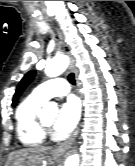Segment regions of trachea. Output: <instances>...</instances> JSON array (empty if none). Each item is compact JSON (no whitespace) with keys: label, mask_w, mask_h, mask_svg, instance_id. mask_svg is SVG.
<instances>
[{"label":"trachea","mask_w":135,"mask_h":166,"mask_svg":"<svg viewBox=\"0 0 135 166\" xmlns=\"http://www.w3.org/2000/svg\"><path fill=\"white\" fill-rule=\"evenodd\" d=\"M68 80L71 84L75 85V76L73 73H70L68 76Z\"/></svg>","instance_id":"3493384b"}]
</instances>
